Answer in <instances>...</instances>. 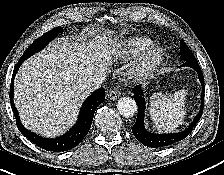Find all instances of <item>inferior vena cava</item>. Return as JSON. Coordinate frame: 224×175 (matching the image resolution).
<instances>
[{
    "label": "inferior vena cava",
    "mask_w": 224,
    "mask_h": 175,
    "mask_svg": "<svg viewBox=\"0 0 224 175\" xmlns=\"http://www.w3.org/2000/svg\"><path fill=\"white\" fill-rule=\"evenodd\" d=\"M104 78L105 76L102 74L94 75L86 82V84L83 85V89L88 93L92 92L93 90L101 86Z\"/></svg>",
    "instance_id": "602c4592"
}]
</instances>
